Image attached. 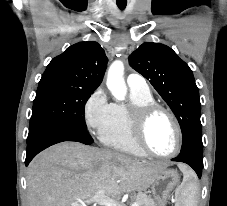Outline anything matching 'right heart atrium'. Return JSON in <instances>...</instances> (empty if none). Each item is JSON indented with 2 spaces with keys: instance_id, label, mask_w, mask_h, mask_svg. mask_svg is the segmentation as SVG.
Masks as SVG:
<instances>
[{
  "instance_id": "1",
  "label": "right heart atrium",
  "mask_w": 227,
  "mask_h": 206,
  "mask_svg": "<svg viewBox=\"0 0 227 206\" xmlns=\"http://www.w3.org/2000/svg\"><path fill=\"white\" fill-rule=\"evenodd\" d=\"M111 115L112 103L104 89H96L84 104V120L89 132L100 136L108 127Z\"/></svg>"
}]
</instances>
